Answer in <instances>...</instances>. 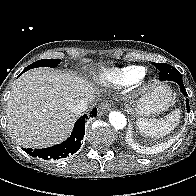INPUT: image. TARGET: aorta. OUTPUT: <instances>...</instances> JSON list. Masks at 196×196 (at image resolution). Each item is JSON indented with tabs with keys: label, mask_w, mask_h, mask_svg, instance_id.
<instances>
[{
	"label": "aorta",
	"mask_w": 196,
	"mask_h": 196,
	"mask_svg": "<svg viewBox=\"0 0 196 196\" xmlns=\"http://www.w3.org/2000/svg\"><path fill=\"white\" fill-rule=\"evenodd\" d=\"M109 121L110 124L116 129H123L127 124L124 114L117 111H111L109 113Z\"/></svg>",
	"instance_id": "obj_1"
}]
</instances>
